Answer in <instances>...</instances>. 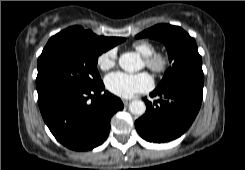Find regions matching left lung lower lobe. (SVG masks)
Masks as SVG:
<instances>
[{
  "label": "left lung lower lobe",
  "instance_id": "1",
  "mask_svg": "<svg viewBox=\"0 0 245 170\" xmlns=\"http://www.w3.org/2000/svg\"><path fill=\"white\" fill-rule=\"evenodd\" d=\"M150 96L160 100L152 104L146 98V112L135 122L141 137L162 143L183 135L191 126L201 106L203 85L178 82L155 89Z\"/></svg>",
  "mask_w": 245,
  "mask_h": 170
}]
</instances>
